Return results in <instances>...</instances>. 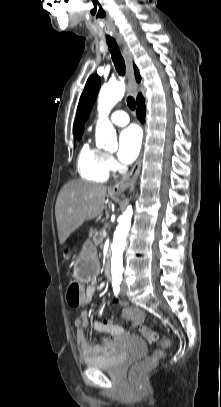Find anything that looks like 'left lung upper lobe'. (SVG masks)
Returning <instances> with one entry per match:
<instances>
[{
  "label": "left lung upper lobe",
  "instance_id": "5c2ea615",
  "mask_svg": "<svg viewBox=\"0 0 221 407\" xmlns=\"http://www.w3.org/2000/svg\"><path fill=\"white\" fill-rule=\"evenodd\" d=\"M101 86V80L98 75L90 76L86 82L84 91L80 97L77 108V138L80 139L85 121L90 115L94 102L97 98Z\"/></svg>",
  "mask_w": 221,
  "mask_h": 407
}]
</instances>
